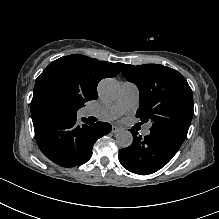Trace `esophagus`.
I'll return each instance as SVG.
<instances>
[{
	"mask_svg": "<svg viewBox=\"0 0 219 219\" xmlns=\"http://www.w3.org/2000/svg\"><path fill=\"white\" fill-rule=\"evenodd\" d=\"M121 131H122L121 128H119L117 126H112V133L116 134V133L121 132Z\"/></svg>",
	"mask_w": 219,
	"mask_h": 219,
	"instance_id": "esophagus-1",
	"label": "esophagus"
}]
</instances>
